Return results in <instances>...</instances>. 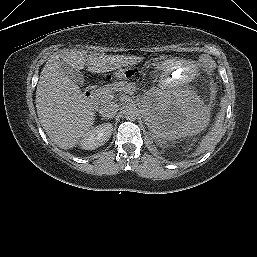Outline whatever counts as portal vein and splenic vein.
<instances>
[{"label":"portal vein and splenic vein","mask_w":257,"mask_h":257,"mask_svg":"<svg viewBox=\"0 0 257 257\" xmlns=\"http://www.w3.org/2000/svg\"><path fill=\"white\" fill-rule=\"evenodd\" d=\"M120 90H123L124 92L129 93V94H132V93H133L132 90L129 89V88H122V89H120ZM110 97L112 98L113 96L111 95Z\"/></svg>","instance_id":"1"}]
</instances>
